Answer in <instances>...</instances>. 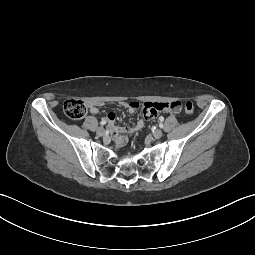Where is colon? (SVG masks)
Listing matches in <instances>:
<instances>
[{
	"mask_svg": "<svg viewBox=\"0 0 255 255\" xmlns=\"http://www.w3.org/2000/svg\"><path fill=\"white\" fill-rule=\"evenodd\" d=\"M185 113L191 115L194 112V105L192 102L187 101L183 105ZM64 113L71 120H81L87 114L86 103L79 98H71L64 103Z\"/></svg>",
	"mask_w": 255,
	"mask_h": 255,
	"instance_id": "5ec220e1",
	"label": "colon"
}]
</instances>
